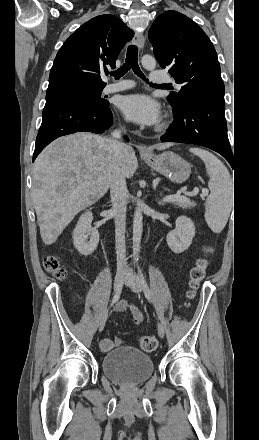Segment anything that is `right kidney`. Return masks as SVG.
Instances as JSON below:
<instances>
[{"mask_svg": "<svg viewBox=\"0 0 259 440\" xmlns=\"http://www.w3.org/2000/svg\"><path fill=\"white\" fill-rule=\"evenodd\" d=\"M93 214L87 211L82 214L73 230V244L77 251L84 256L91 255L99 243L98 230L91 226ZM90 235V240L87 241Z\"/></svg>", "mask_w": 259, "mask_h": 440, "instance_id": "obj_1", "label": "right kidney"}]
</instances>
